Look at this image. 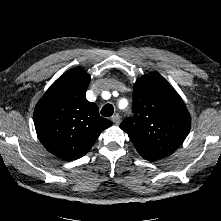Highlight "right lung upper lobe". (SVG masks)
Here are the masks:
<instances>
[{
  "mask_svg": "<svg viewBox=\"0 0 221 221\" xmlns=\"http://www.w3.org/2000/svg\"><path fill=\"white\" fill-rule=\"evenodd\" d=\"M90 75L71 69L46 91L34 110L37 136L53 155L73 160L85 155L112 122L99 115L85 93Z\"/></svg>",
  "mask_w": 221,
  "mask_h": 221,
  "instance_id": "right-lung-upper-lobe-1",
  "label": "right lung upper lobe"
}]
</instances>
